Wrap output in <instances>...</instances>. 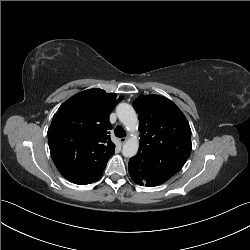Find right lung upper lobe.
Returning <instances> with one entry per match:
<instances>
[{
	"instance_id": "cb5924a9",
	"label": "right lung upper lobe",
	"mask_w": 250,
	"mask_h": 250,
	"mask_svg": "<svg viewBox=\"0 0 250 250\" xmlns=\"http://www.w3.org/2000/svg\"><path fill=\"white\" fill-rule=\"evenodd\" d=\"M122 99L102 89H89L59 107L47 134L52 159L68 181L86 185L102 176L115 149L109 115Z\"/></svg>"
}]
</instances>
